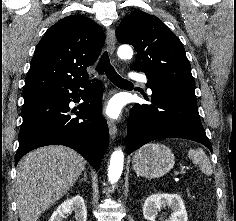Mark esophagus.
I'll return each mask as SVG.
<instances>
[{
  "label": "esophagus",
  "instance_id": "esophagus-1",
  "mask_svg": "<svg viewBox=\"0 0 236 221\" xmlns=\"http://www.w3.org/2000/svg\"><path fill=\"white\" fill-rule=\"evenodd\" d=\"M106 41H107V47L111 54H114L115 51V43H116V37H115V31L112 28H109L106 33ZM108 128L111 138H115L117 134V127L113 120H108Z\"/></svg>",
  "mask_w": 236,
  "mask_h": 221
}]
</instances>
